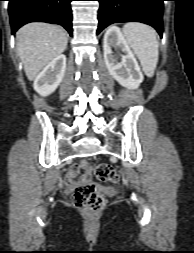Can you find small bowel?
<instances>
[{
	"instance_id": "c3829d8e",
	"label": "small bowel",
	"mask_w": 194,
	"mask_h": 253,
	"mask_svg": "<svg viewBox=\"0 0 194 253\" xmlns=\"http://www.w3.org/2000/svg\"><path fill=\"white\" fill-rule=\"evenodd\" d=\"M77 176H78L77 169L76 168L71 169L67 173L66 179H65L67 186H69V187L73 186L74 183H75V180H76Z\"/></svg>"
}]
</instances>
